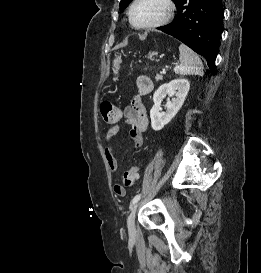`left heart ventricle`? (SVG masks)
<instances>
[{
  "label": "left heart ventricle",
  "mask_w": 261,
  "mask_h": 273,
  "mask_svg": "<svg viewBox=\"0 0 261 273\" xmlns=\"http://www.w3.org/2000/svg\"><path fill=\"white\" fill-rule=\"evenodd\" d=\"M165 11L161 0H141L133 10V20L137 25H145L159 19Z\"/></svg>",
  "instance_id": "b2bd125f"
}]
</instances>
